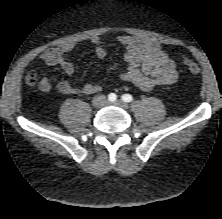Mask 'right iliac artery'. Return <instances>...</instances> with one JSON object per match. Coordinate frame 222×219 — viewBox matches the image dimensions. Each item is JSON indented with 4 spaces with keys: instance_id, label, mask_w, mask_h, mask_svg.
<instances>
[{
    "instance_id": "obj_1",
    "label": "right iliac artery",
    "mask_w": 222,
    "mask_h": 219,
    "mask_svg": "<svg viewBox=\"0 0 222 219\" xmlns=\"http://www.w3.org/2000/svg\"><path fill=\"white\" fill-rule=\"evenodd\" d=\"M116 99H117L116 94H114V93L109 94V96H108V100H109V101L113 102V101H115Z\"/></svg>"
}]
</instances>
